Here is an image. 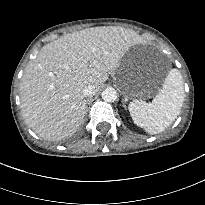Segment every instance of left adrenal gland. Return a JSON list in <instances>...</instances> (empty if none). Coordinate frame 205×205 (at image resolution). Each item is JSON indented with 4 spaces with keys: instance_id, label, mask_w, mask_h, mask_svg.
Returning a JSON list of instances; mask_svg holds the SVG:
<instances>
[{
    "instance_id": "a2214340",
    "label": "left adrenal gland",
    "mask_w": 205,
    "mask_h": 205,
    "mask_svg": "<svg viewBox=\"0 0 205 205\" xmlns=\"http://www.w3.org/2000/svg\"><path fill=\"white\" fill-rule=\"evenodd\" d=\"M122 103H123V107L126 108V104L124 100L122 101Z\"/></svg>"
}]
</instances>
